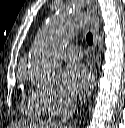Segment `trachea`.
<instances>
[{
  "instance_id": "trachea-1",
  "label": "trachea",
  "mask_w": 125,
  "mask_h": 128,
  "mask_svg": "<svg viewBox=\"0 0 125 128\" xmlns=\"http://www.w3.org/2000/svg\"><path fill=\"white\" fill-rule=\"evenodd\" d=\"M86 41L89 45L93 43V35L90 32H88L86 35Z\"/></svg>"
}]
</instances>
